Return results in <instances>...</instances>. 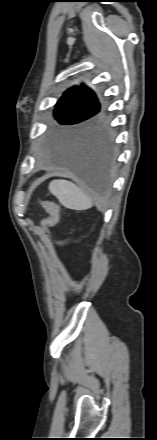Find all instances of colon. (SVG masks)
<instances>
[{
	"instance_id": "obj_1",
	"label": "colon",
	"mask_w": 157,
	"mask_h": 440,
	"mask_svg": "<svg viewBox=\"0 0 157 440\" xmlns=\"http://www.w3.org/2000/svg\"><path fill=\"white\" fill-rule=\"evenodd\" d=\"M41 206L48 213L47 218H45L42 222L43 228L48 230L49 228L55 226L59 221V216H60L59 206L50 200L41 201Z\"/></svg>"
}]
</instances>
